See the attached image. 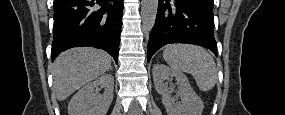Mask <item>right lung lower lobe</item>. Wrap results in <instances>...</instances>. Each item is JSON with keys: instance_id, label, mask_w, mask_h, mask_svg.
Here are the masks:
<instances>
[{"instance_id": "right-lung-lower-lobe-1", "label": "right lung lower lobe", "mask_w": 285, "mask_h": 115, "mask_svg": "<svg viewBox=\"0 0 285 115\" xmlns=\"http://www.w3.org/2000/svg\"><path fill=\"white\" fill-rule=\"evenodd\" d=\"M53 6L52 60L66 49L89 46L108 52L117 63L123 0H54Z\"/></svg>"}]
</instances>
